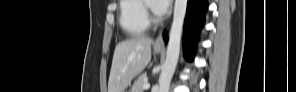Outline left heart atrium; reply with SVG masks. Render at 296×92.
I'll return each instance as SVG.
<instances>
[{
  "instance_id": "left-heart-atrium-1",
  "label": "left heart atrium",
  "mask_w": 296,
  "mask_h": 92,
  "mask_svg": "<svg viewBox=\"0 0 296 92\" xmlns=\"http://www.w3.org/2000/svg\"><path fill=\"white\" fill-rule=\"evenodd\" d=\"M170 0H157L153 2V10L157 15L165 14L170 7Z\"/></svg>"
}]
</instances>
